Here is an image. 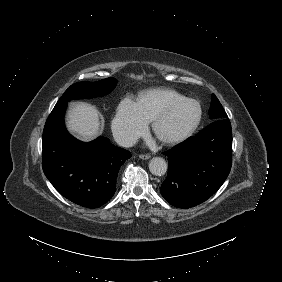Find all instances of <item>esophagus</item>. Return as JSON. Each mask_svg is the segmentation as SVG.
<instances>
[{
	"label": "esophagus",
	"instance_id": "1",
	"mask_svg": "<svg viewBox=\"0 0 282 282\" xmlns=\"http://www.w3.org/2000/svg\"><path fill=\"white\" fill-rule=\"evenodd\" d=\"M150 157H151L150 155H139V158L143 160L150 159Z\"/></svg>",
	"mask_w": 282,
	"mask_h": 282
}]
</instances>
